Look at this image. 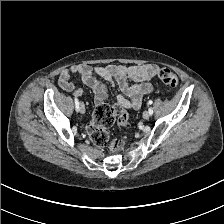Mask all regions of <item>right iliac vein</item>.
I'll use <instances>...</instances> for the list:
<instances>
[{
	"label": "right iliac vein",
	"mask_w": 224,
	"mask_h": 224,
	"mask_svg": "<svg viewBox=\"0 0 224 224\" xmlns=\"http://www.w3.org/2000/svg\"><path fill=\"white\" fill-rule=\"evenodd\" d=\"M79 110L82 114L85 113V107H84V104L83 103H80V106H79Z\"/></svg>",
	"instance_id": "63e3f726"
}]
</instances>
